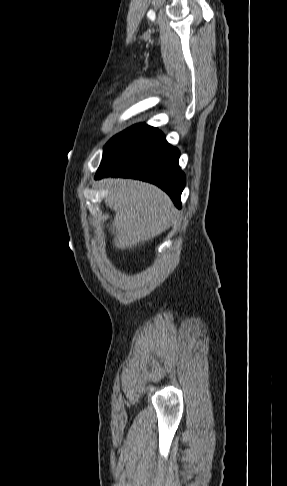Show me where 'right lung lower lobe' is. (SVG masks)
Listing matches in <instances>:
<instances>
[{
  "label": "right lung lower lobe",
  "instance_id": "98d812e1",
  "mask_svg": "<svg viewBox=\"0 0 287 486\" xmlns=\"http://www.w3.org/2000/svg\"><path fill=\"white\" fill-rule=\"evenodd\" d=\"M179 151L167 143L157 128L102 160L95 178L130 177L156 184L180 208L185 175L178 159Z\"/></svg>",
  "mask_w": 287,
  "mask_h": 486
}]
</instances>
